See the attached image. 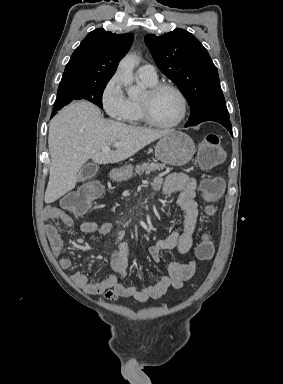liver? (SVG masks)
I'll return each mask as SVG.
<instances>
[{
    "label": "liver",
    "instance_id": "obj_1",
    "mask_svg": "<svg viewBox=\"0 0 283 384\" xmlns=\"http://www.w3.org/2000/svg\"><path fill=\"white\" fill-rule=\"evenodd\" d=\"M167 134L171 130H149L104 120L99 108L86 100L66 106L50 122L51 166L45 204L59 200L75 188L77 174L87 160L117 164ZM112 144L120 146L114 152H101V148H110Z\"/></svg>",
    "mask_w": 283,
    "mask_h": 384
}]
</instances>
